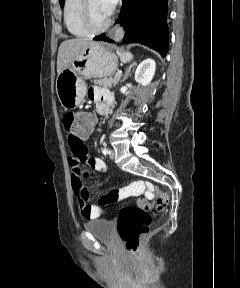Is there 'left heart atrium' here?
I'll list each match as a JSON object with an SVG mask.
<instances>
[{"label": "left heart atrium", "mask_w": 240, "mask_h": 288, "mask_svg": "<svg viewBox=\"0 0 240 288\" xmlns=\"http://www.w3.org/2000/svg\"><path fill=\"white\" fill-rule=\"evenodd\" d=\"M101 7L106 12L107 15H111L115 9L118 0H99Z\"/></svg>", "instance_id": "1"}]
</instances>
